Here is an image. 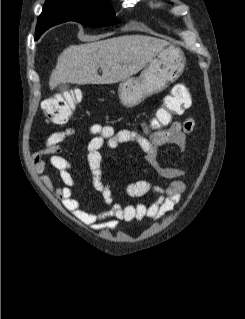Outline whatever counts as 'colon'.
<instances>
[{
	"instance_id": "colon-1",
	"label": "colon",
	"mask_w": 245,
	"mask_h": 319,
	"mask_svg": "<svg viewBox=\"0 0 245 319\" xmlns=\"http://www.w3.org/2000/svg\"><path fill=\"white\" fill-rule=\"evenodd\" d=\"M185 97V90L172 92L166 98L165 105L157 111L149 130H159L171 124L175 116L183 114L188 107L184 102ZM80 99L81 93L76 90L55 95L44 102V112L50 121L63 123L69 119Z\"/></svg>"
}]
</instances>
